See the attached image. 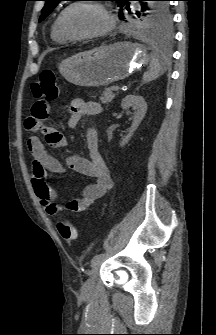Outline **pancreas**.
Here are the masks:
<instances>
[{"mask_svg":"<svg viewBox=\"0 0 216 335\" xmlns=\"http://www.w3.org/2000/svg\"><path fill=\"white\" fill-rule=\"evenodd\" d=\"M113 91H114L113 86L106 88L100 97L101 103L103 104L110 103L115 98V94L113 93Z\"/></svg>","mask_w":216,"mask_h":335,"instance_id":"pancreas-1","label":"pancreas"}]
</instances>
